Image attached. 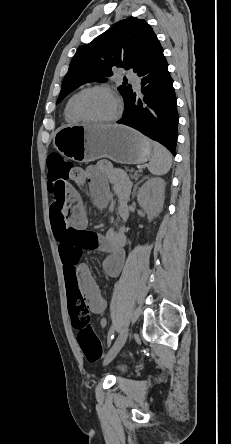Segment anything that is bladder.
<instances>
[{"mask_svg": "<svg viewBox=\"0 0 231 444\" xmlns=\"http://www.w3.org/2000/svg\"><path fill=\"white\" fill-rule=\"evenodd\" d=\"M120 369H121V370H125V369H126V367H124V366H121V367H120Z\"/></svg>", "mask_w": 231, "mask_h": 444, "instance_id": "31cf9c89", "label": "bladder"}]
</instances>
